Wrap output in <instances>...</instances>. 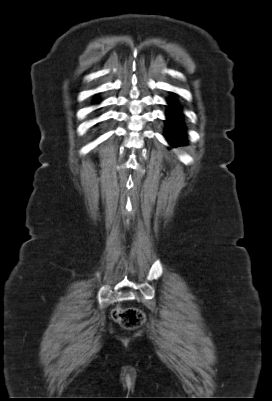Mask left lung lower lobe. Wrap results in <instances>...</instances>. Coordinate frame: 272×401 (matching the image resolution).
I'll use <instances>...</instances> for the list:
<instances>
[{
    "instance_id": "left-lung-lower-lobe-1",
    "label": "left lung lower lobe",
    "mask_w": 272,
    "mask_h": 401,
    "mask_svg": "<svg viewBox=\"0 0 272 401\" xmlns=\"http://www.w3.org/2000/svg\"><path fill=\"white\" fill-rule=\"evenodd\" d=\"M168 102L170 105L166 121L168 139L172 146L185 145V129L180 118V107L174 98L169 99Z\"/></svg>"
}]
</instances>
